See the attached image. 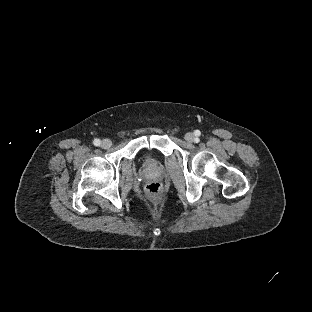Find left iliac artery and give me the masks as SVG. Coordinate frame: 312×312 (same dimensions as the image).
I'll return each instance as SVG.
<instances>
[{
	"label": "left iliac artery",
	"instance_id": "obj_1",
	"mask_svg": "<svg viewBox=\"0 0 312 312\" xmlns=\"http://www.w3.org/2000/svg\"><path fill=\"white\" fill-rule=\"evenodd\" d=\"M195 134H196V135H200V131H199V130H196V131H195Z\"/></svg>",
	"mask_w": 312,
	"mask_h": 312
}]
</instances>
